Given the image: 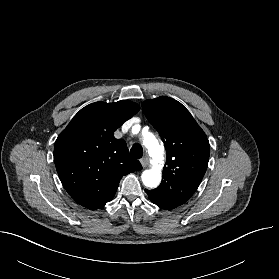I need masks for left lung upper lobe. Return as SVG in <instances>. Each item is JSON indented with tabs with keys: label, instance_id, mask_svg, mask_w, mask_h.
Wrapping results in <instances>:
<instances>
[{
	"label": "left lung upper lobe",
	"instance_id": "left-lung-upper-lobe-1",
	"mask_svg": "<svg viewBox=\"0 0 279 279\" xmlns=\"http://www.w3.org/2000/svg\"><path fill=\"white\" fill-rule=\"evenodd\" d=\"M143 111L159 132L167 160L162 183L149 196L185 203L200 185L209 161V141L190 112L178 101L161 96L146 100Z\"/></svg>",
	"mask_w": 279,
	"mask_h": 279
}]
</instances>
